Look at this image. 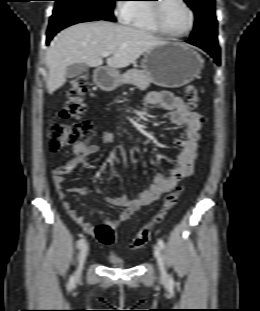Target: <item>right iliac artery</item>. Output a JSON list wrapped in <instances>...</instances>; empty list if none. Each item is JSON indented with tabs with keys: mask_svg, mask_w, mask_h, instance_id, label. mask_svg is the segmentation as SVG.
Returning <instances> with one entry per match:
<instances>
[{
	"mask_svg": "<svg viewBox=\"0 0 260 311\" xmlns=\"http://www.w3.org/2000/svg\"><path fill=\"white\" fill-rule=\"evenodd\" d=\"M84 242H85V240H84L83 238H81L80 240H78V242H77V248L80 249V248L84 245ZM74 279H75L74 275L71 276V278H70V283L74 282Z\"/></svg>",
	"mask_w": 260,
	"mask_h": 311,
	"instance_id": "1",
	"label": "right iliac artery"
}]
</instances>
